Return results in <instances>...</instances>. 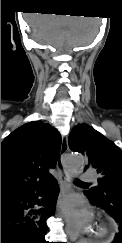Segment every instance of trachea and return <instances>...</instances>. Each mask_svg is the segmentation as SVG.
Wrapping results in <instances>:
<instances>
[{
  "instance_id": "obj_1",
  "label": "trachea",
  "mask_w": 122,
  "mask_h": 243,
  "mask_svg": "<svg viewBox=\"0 0 122 243\" xmlns=\"http://www.w3.org/2000/svg\"><path fill=\"white\" fill-rule=\"evenodd\" d=\"M76 181H77V182H80V183H83V182H82L81 180H79V179H77Z\"/></svg>"
}]
</instances>
